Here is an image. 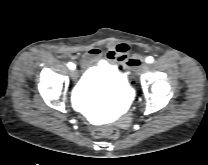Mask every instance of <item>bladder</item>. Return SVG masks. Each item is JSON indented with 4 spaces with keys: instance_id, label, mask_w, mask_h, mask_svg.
Instances as JSON below:
<instances>
[{
    "instance_id": "1",
    "label": "bladder",
    "mask_w": 208,
    "mask_h": 165,
    "mask_svg": "<svg viewBox=\"0 0 208 165\" xmlns=\"http://www.w3.org/2000/svg\"><path fill=\"white\" fill-rule=\"evenodd\" d=\"M133 93L126 75L113 69L107 63H100L90 68L78 81L75 92L76 101L83 108L95 105L94 96L113 103L128 101Z\"/></svg>"
}]
</instances>
